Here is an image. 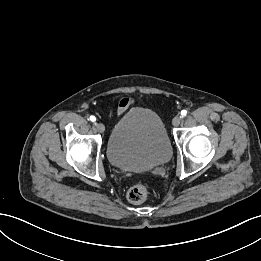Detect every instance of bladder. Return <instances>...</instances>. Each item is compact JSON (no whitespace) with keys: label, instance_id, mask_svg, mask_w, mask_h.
<instances>
[{"label":"bladder","instance_id":"bladder-1","mask_svg":"<svg viewBox=\"0 0 261 261\" xmlns=\"http://www.w3.org/2000/svg\"><path fill=\"white\" fill-rule=\"evenodd\" d=\"M172 146L164 123L151 109L134 107L114 125L107 143L109 162L125 171H143L165 164Z\"/></svg>","mask_w":261,"mask_h":261}]
</instances>
